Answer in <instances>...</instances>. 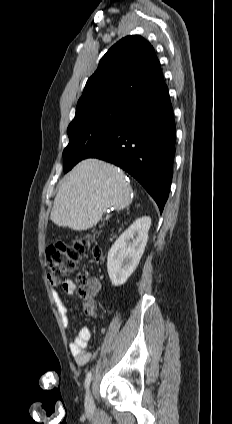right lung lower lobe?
Wrapping results in <instances>:
<instances>
[{"mask_svg": "<svg viewBox=\"0 0 232 424\" xmlns=\"http://www.w3.org/2000/svg\"><path fill=\"white\" fill-rule=\"evenodd\" d=\"M175 121L167 85L134 103L127 122L86 158L113 163L147 190L162 213L172 181Z\"/></svg>", "mask_w": 232, "mask_h": 424, "instance_id": "right-lung-lower-lobe-1", "label": "right lung lower lobe"}]
</instances>
